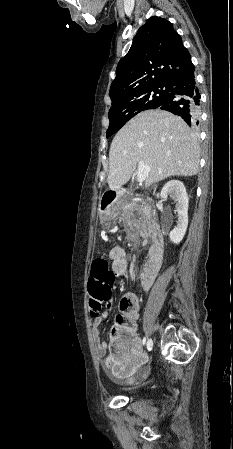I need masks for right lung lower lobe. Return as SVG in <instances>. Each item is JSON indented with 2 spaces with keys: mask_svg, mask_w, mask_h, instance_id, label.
I'll return each instance as SVG.
<instances>
[{
  "mask_svg": "<svg viewBox=\"0 0 233 449\" xmlns=\"http://www.w3.org/2000/svg\"><path fill=\"white\" fill-rule=\"evenodd\" d=\"M167 86L168 94L156 108L181 116L189 126L196 127L199 124L201 97L194 69L173 78Z\"/></svg>",
  "mask_w": 233,
  "mask_h": 449,
  "instance_id": "right-lung-lower-lobe-1",
  "label": "right lung lower lobe"
}]
</instances>
